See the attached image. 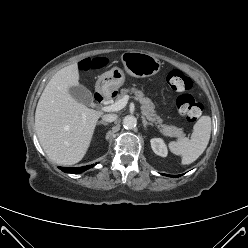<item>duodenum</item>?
Returning <instances> with one entry per match:
<instances>
[{"label":"duodenum","instance_id":"duodenum-1","mask_svg":"<svg viewBox=\"0 0 248 248\" xmlns=\"http://www.w3.org/2000/svg\"><path fill=\"white\" fill-rule=\"evenodd\" d=\"M94 97H95V100H96L97 102H102V101H106L107 99H109L110 95H108V94H103V93H101V92H98V93L95 94Z\"/></svg>","mask_w":248,"mask_h":248}]
</instances>
